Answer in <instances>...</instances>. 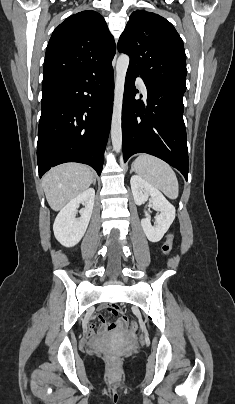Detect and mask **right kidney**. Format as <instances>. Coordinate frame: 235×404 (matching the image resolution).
<instances>
[{"instance_id": "ca27d5eb", "label": "right kidney", "mask_w": 235, "mask_h": 404, "mask_svg": "<svg viewBox=\"0 0 235 404\" xmlns=\"http://www.w3.org/2000/svg\"><path fill=\"white\" fill-rule=\"evenodd\" d=\"M95 199V190L89 188L72 199L57 215L53 230L55 238L65 247H73L80 242L88 227ZM80 217L76 218L79 204Z\"/></svg>"}]
</instances>
